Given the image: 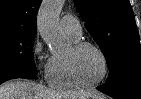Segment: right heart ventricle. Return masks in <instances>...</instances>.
Wrapping results in <instances>:
<instances>
[{"label":"right heart ventricle","mask_w":141,"mask_h":99,"mask_svg":"<svg viewBox=\"0 0 141 99\" xmlns=\"http://www.w3.org/2000/svg\"><path fill=\"white\" fill-rule=\"evenodd\" d=\"M70 38L75 42L79 40L72 36ZM47 80L52 87L58 89H69L77 86L70 76L67 58L65 56L51 57Z\"/></svg>","instance_id":"1"}]
</instances>
